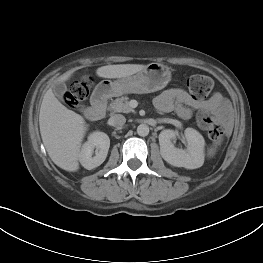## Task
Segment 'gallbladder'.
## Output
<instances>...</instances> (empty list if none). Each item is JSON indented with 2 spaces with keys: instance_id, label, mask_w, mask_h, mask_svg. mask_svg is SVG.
Returning a JSON list of instances; mask_svg holds the SVG:
<instances>
[{
  "instance_id": "1",
  "label": "gallbladder",
  "mask_w": 263,
  "mask_h": 263,
  "mask_svg": "<svg viewBox=\"0 0 263 263\" xmlns=\"http://www.w3.org/2000/svg\"><path fill=\"white\" fill-rule=\"evenodd\" d=\"M52 90L54 92V94L60 99L62 100L66 91H67V87L65 85L64 82L58 81L56 83L53 84L52 86ZM81 112H84V108H80Z\"/></svg>"
}]
</instances>
